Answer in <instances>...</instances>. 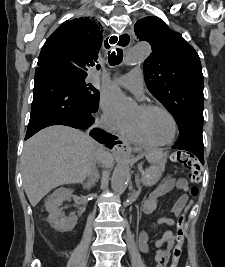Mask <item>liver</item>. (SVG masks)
<instances>
[{
	"mask_svg": "<svg viewBox=\"0 0 225 267\" xmlns=\"http://www.w3.org/2000/svg\"><path fill=\"white\" fill-rule=\"evenodd\" d=\"M98 149L90 136L67 126H50L28 139L21 164L30 204L36 206L60 185L82 183L95 164ZM103 160L110 164L112 157L106 152Z\"/></svg>",
	"mask_w": 225,
	"mask_h": 267,
	"instance_id": "1",
	"label": "liver"
}]
</instances>
